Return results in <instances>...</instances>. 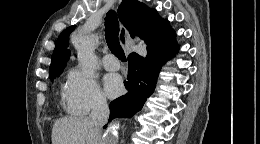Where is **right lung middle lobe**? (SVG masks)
Instances as JSON below:
<instances>
[{"mask_svg":"<svg viewBox=\"0 0 260 144\" xmlns=\"http://www.w3.org/2000/svg\"><path fill=\"white\" fill-rule=\"evenodd\" d=\"M62 72H63V70H60V71L51 73V74H49V77H50V79L52 80L53 78L60 76V74H61Z\"/></svg>","mask_w":260,"mask_h":144,"instance_id":"obj_1","label":"right lung middle lobe"}]
</instances>
